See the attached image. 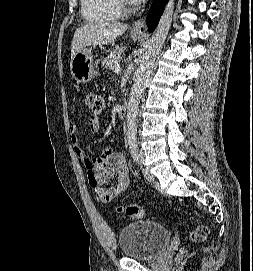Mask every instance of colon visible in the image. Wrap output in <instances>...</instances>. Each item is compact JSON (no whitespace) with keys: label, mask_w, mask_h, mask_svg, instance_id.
Instances as JSON below:
<instances>
[{"label":"colon","mask_w":253,"mask_h":271,"mask_svg":"<svg viewBox=\"0 0 253 271\" xmlns=\"http://www.w3.org/2000/svg\"><path fill=\"white\" fill-rule=\"evenodd\" d=\"M85 100L89 108L94 113H100L103 109V98L101 95L88 92L85 95ZM120 212H124L130 219L139 220L143 217V209L135 204H128L119 208ZM208 228L204 225H198L189 232V238L193 242H202L208 236Z\"/></svg>","instance_id":"5ec220e1"}]
</instances>
